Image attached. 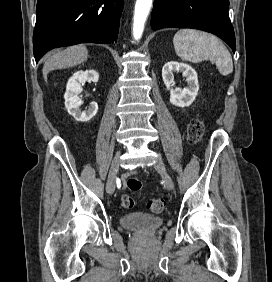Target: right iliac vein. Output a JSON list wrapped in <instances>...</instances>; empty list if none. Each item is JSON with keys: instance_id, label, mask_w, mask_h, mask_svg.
Wrapping results in <instances>:
<instances>
[{"instance_id": "63e3f726", "label": "right iliac vein", "mask_w": 272, "mask_h": 282, "mask_svg": "<svg viewBox=\"0 0 272 282\" xmlns=\"http://www.w3.org/2000/svg\"><path fill=\"white\" fill-rule=\"evenodd\" d=\"M120 152H118L111 163L110 172L107 178L106 191L108 194H113L116 186V174L119 170Z\"/></svg>"}]
</instances>
